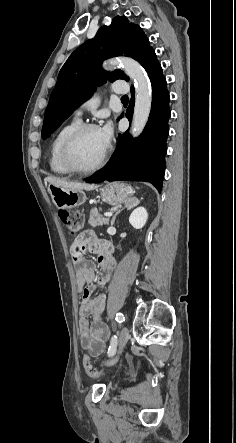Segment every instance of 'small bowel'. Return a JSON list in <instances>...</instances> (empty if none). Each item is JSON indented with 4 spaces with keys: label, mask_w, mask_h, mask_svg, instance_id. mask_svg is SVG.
Returning <instances> with one entry per match:
<instances>
[{
    "label": "small bowel",
    "mask_w": 236,
    "mask_h": 443,
    "mask_svg": "<svg viewBox=\"0 0 236 443\" xmlns=\"http://www.w3.org/2000/svg\"><path fill=\"white\" fill-rule=\"evenodd\" d=\"M82 248L83 255L74 256V250ZM73 262L76 265V284L78 292L82 294L79 305L78 333L80 344L88 349L93 356L100 355L109 337V329L103 321L106 297L97 294L98 286L110 282L115 267V260L111 255V247L101 241L92 231L80 234L72 243ZM86 251L98 253L100 269L97 273L94 264L84 258ZM91 318V320H89Z\"/></svg>",
    "instance_id": "small-bowel-1"
}]
</instances>
